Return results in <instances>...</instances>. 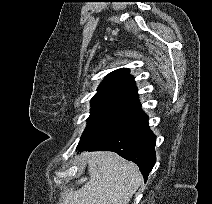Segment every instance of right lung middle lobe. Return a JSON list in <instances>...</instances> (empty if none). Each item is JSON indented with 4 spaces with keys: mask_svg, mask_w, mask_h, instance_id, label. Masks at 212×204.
I'll use <instances>...</instances> for the list:
<instances>
[{
    "mask_svg": "<svg viewBox=\"0 0 212 204\" xmlns=\"http://www.w3.org/2000/svg\"><path fill=\"white\" fill-rule=\"evenodd\" d=\"M141 113L140 105L120 101L91 102L87 127L77 149L95 146L127 127Z\"/></svg>",
    "mask_w": 212,
    "mask_h": 204,
    "instance_id": "dd1d6c3e",
    "label": "right lung middle lobe"
}]
</instances>
